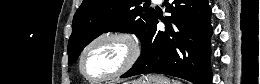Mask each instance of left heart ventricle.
<instances>
[{"mask_svg":"<svg viewBox=\"0 0 260 84\" xmlns=\"http://www.w3.org/2000/svg\"><path fill=\"white\" fill-rule=\"evenodd\" d=\"M127 55V48L115 40H102L94 45L84 60V70L91 79H99L116 71Z\"/></svg>","mask_w":260,"mask_h":84,"instance_id":"1","label":"left heart ventricle"}]
</instances>
